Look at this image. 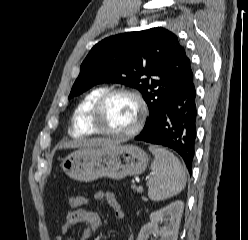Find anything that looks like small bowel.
I'll use <instances>...</instances> for the list:
<instances>
[{"label": "small bowel", "instance_id": "obj_1", "mask_svg": "<svg viewBox=\"0 0 248 240\" xmlns=\"http://www.w3.org/2000/svg\"><path fill=\"white\" fill-rule=\"evenodd\" d=\"M96 201L105 200L113 209L115 217L119 220H124L125 213L117 200L116 196L109 191H97L94 194ZM75 224H82L84 226L80 233L78 240H88L92 233L101 228L102 221L100 215L90 209H78L68 212L61 228V234L57 235L54 240H63L62 234L66 233ZM127 240H134V234L130 227H128Z\"/></svg>", "mask_w": 248, "mask_h": 240}]
</instances>
